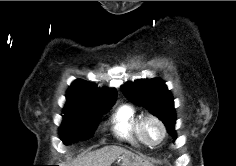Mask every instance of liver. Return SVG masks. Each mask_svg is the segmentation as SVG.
<instances>
[{"mask_svg":"<svg viewBox=\"0 0 236 166\" xmlns=\"http://www.w3.org/2000/svg\"><path fill=\"white\" fill-rule=\"evenodd\" d=\"M122 155H132V166H152L148 161L135 156L130 151L119 146H107L99 150L90 152L75 161L69 166H111V164ZM121 157V158H122Z\"/></svg>","mask_w":236,"mask_h":166,"instance_id":"1","label":"liver"}]
</instances>
